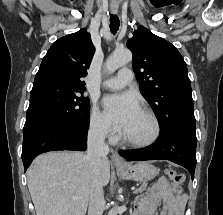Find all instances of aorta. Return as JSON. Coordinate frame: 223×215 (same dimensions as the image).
<instances>
[{"mask_svg": "<svg viewBox=\"0 0 223 215\" xmlns=\"http://www.w3.org/2000/svg\"><path fill=\"white\" fill-rule=\"evenodd\" d=\"M131 60L132 54L130 50H115L112 56H109L108 60L105 62V72H108V74H113V72H116V70L121 68V66L129 64ZM108 215H117L115 207L110 209Z\"/></svg>", "mask_w": 223, "mask_h": 215, "instance_id": "obj_1", "label": "aorta"}]
</instances>
